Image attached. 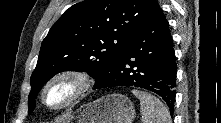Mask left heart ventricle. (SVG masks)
<instances>
[{"instance_id":"obj_1","label":"left heart ventricle","mask_w":221,"mask_h":123,"mask_svg":"<svg viewBox=\"0 0 221 123\" xmlns=\"http://www.w3.org/2000/svg\"><path fill=\"white\" fill-rule=\"evenodd\" d=\"M72 92V85L69 82L61 81L54 84L46 94V100L51 105H57L69 97Z\"/></svg>"}]
</instances>
